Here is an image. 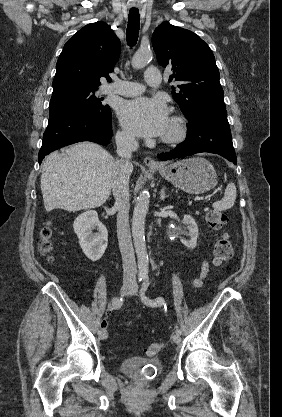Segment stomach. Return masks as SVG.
<instances>
[{"label":"stomach","mask_w":282,"mask_h":417,"mask_svg":"<svg viewBox=\"0 0 282 417\" xmlns=\"http://www.w3.org/2000/svg\"><path fill=\"white\" fill-rule=\"evenodd\" d=\"M156 170L174 186L189 194H202L217 184V174L213 164L202 156L177 160L159 166Z\"/></svg>","instance_id":"0dacf381"}]
</instances>
